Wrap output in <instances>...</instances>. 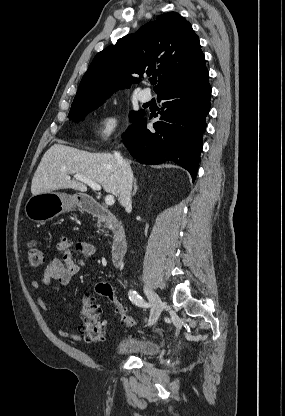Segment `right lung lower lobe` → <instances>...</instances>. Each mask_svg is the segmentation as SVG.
I'll return each mask as SVG.
<instances>
[{"label":"right lung lower lobe","instance_id":"1","mask_svg":"<svg viewBox=\"0 0 285 416\" xmlns=\"http://www.w3.org/2000/svg\"><path fill=\"white\" fill-rule=\"evenodd\" d=\"M210 96L209 73L158 95V101H166L158 112L161 117L153 124L154 129L148 130L146 118L141 117L124 135L131 155L140 163L150 165L174 161L188 170L194 181Z\"/></svg>","mask_w":285,"mask_h":416}]
</instances>
